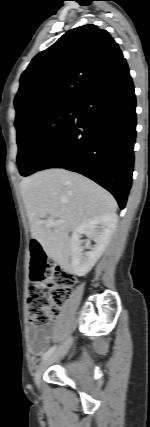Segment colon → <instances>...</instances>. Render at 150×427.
Masks as SVG:
<instances>
[{
  "label": "colon",
  "mask_w": 150,
  "mask_h": 427,
  "mask_svg": "<svg viewBox=\"0 0 150 427\" xmlns=\"http://www.w3.org/2000/svg\"><path fill=\"white\" fill-rule=\"evenodd\" d=\"M29 251L30 275L35 284L28 289V319L33 325L44 326L58 317L76 279L62 265L49 259L37 240L31 241ZM38 283H44L45 288Z\"/></svg>",
  "instance_id": "1"
}]
</instances>
